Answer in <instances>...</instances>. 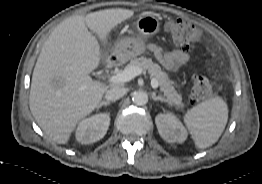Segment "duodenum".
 Returning <instances> with one entry per match:
<instances>
[{
    "mask_svg": "<svg viewBox=\"0 0 262 184\" xmlns=\"http://www.w3.org/2000/svg\"><path fill=\"white\" fill-rule=\"evenodd\" d=\"M120 62L121 58L119 56H115L106 64V69H112L113 67L117 66Z\"/></svg>",
    "mask_w": 262,
    "mask_h": 184,
    "instance_id": "1",
    "label": "duodenum"
}]
</instances>
